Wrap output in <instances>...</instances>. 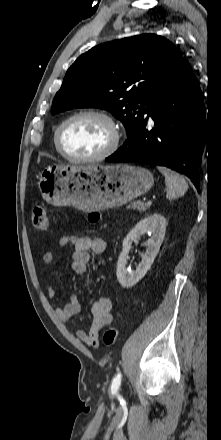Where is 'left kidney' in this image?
Listing matches in <instances>:
<instances>
[{
	"instance_id": "5707ae66",
	"label": "left kidney",
	"mask_w": 221,
	"mask_h": 440,
	"mask_svg": "<svg viewBox=\"0 0 221 440\" xmlns=\"http://www.w3.org/2000/svg\"><path fill=\"white\" fill-rule=\"evenodd\" d=\"M166 230V219L160 213H154L139 221L123 240L122 252L117 262V279L122 287L130 288L138 283L150 269L163 242ZM150 238L146 242V253L142 256L135 271L126 268L128 253L132 243L139 240L144 234Z\"/></svg>"
}]
</instances>
